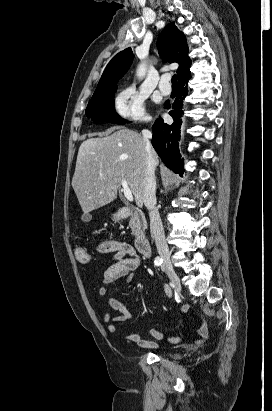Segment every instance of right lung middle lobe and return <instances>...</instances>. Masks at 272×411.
<instances>
[{
	"label": "right lung middle lobe",
	"mask_w": 272,
	"mask_h": 411,
	"mask_svg": "<svg viewBox=\"0 0 272 411\" xmlns=\"http://www.w3.org/2000/svg\"><path fill=\"white\" fill-rule=\"evenodd\" d=\"M116 89V83L105 88H97L86 108V115L94 121L124 124L125 120L114 109Z\"/></svg>",
	"instance_id": "right-lung-middle-lobe-1"
}]
</instances>
